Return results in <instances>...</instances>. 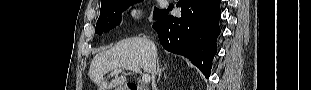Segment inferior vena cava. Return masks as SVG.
Wrapping results in <instances>:
<instances>
[{"label": "inferior vena cava", "mask_w": 311, "mask_h": 90, "mask_svg": "<svg viewBox=\"0 0 311 90\" xmlns=\"http://www.w3.org/2000/svg\"><path fill=\"white\" fill-rule=\"evenodd\" d=\"M155 65H156V64H154V67H155ZM155 74H156V68H155V70H154V72H153V74H152V77H153V78L155 77Z\"/></svg>", "instance_id": "obj_1"}]
</instances>
